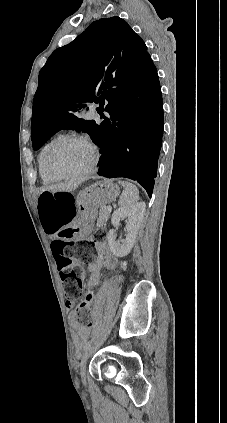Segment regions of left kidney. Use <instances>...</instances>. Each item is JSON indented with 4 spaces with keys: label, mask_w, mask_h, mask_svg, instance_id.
<instances>
[{
    "label": "left kidney",
    "mask_w": 227,
    "mask_h": 423,
    "mask_svg": "<svg viewBox=\"0 0 227 423\" xmlns=\"http://www.w3.org/2000/svg\"><path fill=\"white\" fill-rule=\"evenodd\" d=\"M146 211V204L144 202H139L135 206H128V208H118L112 213L111 223L113 225H119L121 217H127L126 225V237L125 239H116L115 229H110L107 239L109 247L116 255V257H124L128 255L133 247V243L137 237L138 229L143 221V217Z\"/></svg>",
    "instance_id": "5707ae66"
}]
</instances>
